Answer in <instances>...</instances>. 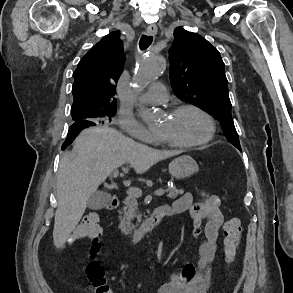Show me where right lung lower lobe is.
<instances>
[{"mask_svg": "<svg viewBox=\"0 0 293 293\" xmlns=\"http://www.w3.org/2000/svg\"><path fill=\"white\" fill-rule=\"evenodd\" d=\"M95 124L96 123L94 121H91V120H78V121H75L69 128L67 138H66L65 142L62 145V150H65V148L73 142L75 137L79 134V132L82 129L87 128L89 126H93Z\"/></svg>", "mask_w": 293, "mask_h": 293, "instance_id": "right-lung-lower-lobe-1", "label": "right lung lower lobe"}]
</instances>
